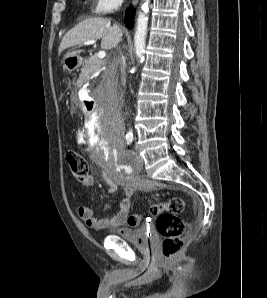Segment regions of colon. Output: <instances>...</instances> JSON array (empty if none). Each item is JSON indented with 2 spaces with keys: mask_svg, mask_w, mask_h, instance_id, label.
Here are the masks:
<instances>
[{
  "mask_svg": "<svg viewBox=\"0 0 267 298\" xmlns=\"http://www.w3.org/2000/svg\"><path fill=\"white\" fill-rule=\"evenodd\" d=\"M66 160L73 176L84 184L90 176L87 161L75 151H68ZM185 207L186 203L180 197H172L150 207V214L156 218V228L163 238L162 253L166 259H172L183 249L187 229V221L182 216ZM142 221L138 214L128 217V224L132 227L139 226Z\"/></svg>",
  "mask_w": 267,
  "mask_h": 298,
  "instance_id": "5ec220e1",
  "label": "colon"
}]
</instances>
